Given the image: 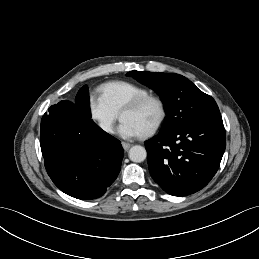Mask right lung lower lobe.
I'll list each match as a JSON object with an SVG mask.
<instances>
[{
	"mask_svg": "<svg viewBox=\"0 0 259 259\" xmlns=\"http://www.w3.org/2000/svg\"><path fill=\"white\" fill-rule=\"evenodd\" d=\"M40 145L53 183L74 198L102 196L121 169V142L69 101L51 106L42 117Z\"/></svg>",
	"mask_w": 259,
	"mask_h": 259,
	"instance_id": "1",
	"label": "right lung lower lobe"
}]
</instances>
